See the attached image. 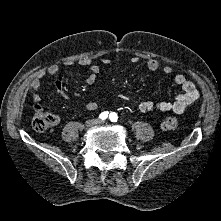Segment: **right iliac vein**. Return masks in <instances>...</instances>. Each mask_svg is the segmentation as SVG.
Listing matches in <instances>:
<instances>
[{
    "label": "right iliac vein",
    "mask_w": 221,
    "mask_h": 221,
    "mask_svg": "<svg viewBox=\"0 0 221 221\" xmlns=\"http://www.w3.org/2000/svg\"><path fill=\"white\" fill-rule=\"evenodd\" d=\"M96 123H97L96 119H90V120L86 121L85 125H86V127H91V126H93Z\"/></svg>",
    "instance_id": "right-iliac-vein-1"
}]
</instances>
